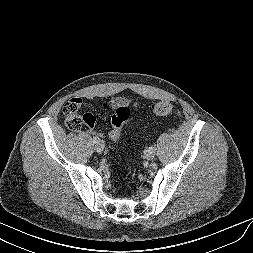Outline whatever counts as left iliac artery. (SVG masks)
Masks as SVG:
<instances>
[{
	"mask_svg": "<svg viewBox=\"0 0 253 253\" xmlns=\"http://www.w3.org/2000/svg\"><path fill=\"white\" fill-rule=\"evenodd\" d=\"M152 152H155L156 151V148L155 147H150L149 148Z\"/></svg>",
	"mask_w": 253,
	"mask_h": 253,
	"instance_id": "44dca946",
	"label": "left iliac artery"
}]
</instances>
